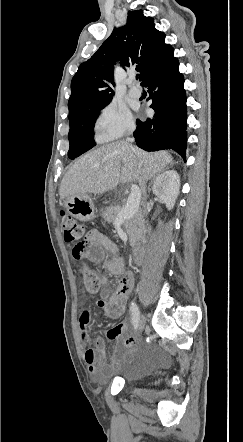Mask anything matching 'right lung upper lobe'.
<instances>
[{"label":"right lung upper lobe","mask_w":243,"mask_h":442,"mask_svg":"<svg viewBox=\"0 0 243 442\" xmlns=\"http://www.w3.org/2000/svg\"><path fill=\"white\" fill-rule=\"evenodd\" d=\"M173 50L165 34L155 29L154 19L142 10L129 11L125 26L114 29L94 55L82 63L71 82L69 120L112 100L114 64H137L140 80L155 70Z\"/></svg>","instance_id":"cb5924a9"}]
</instances>
